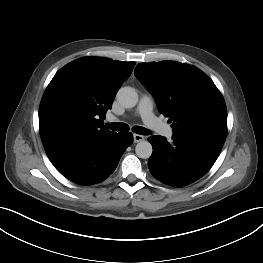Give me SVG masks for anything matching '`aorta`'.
<instances>
[{"label":"aorta","instance_id":"1","mask_svg":"<svg viewBox=\"0 0 263 263\" xmlns=\"http://www.w3.org/2000/svg\"><path fill=\"white\" fill-rule=\"evenodd\" d=\"M118 102L125 108H132L138 102V94L132 87H122L117 92ZM136 155L142 159H148L153 152L152 145L148 141H140L135 147Z\"/></svg>","mask_w":263,"mask_h":263}]
</instances>
